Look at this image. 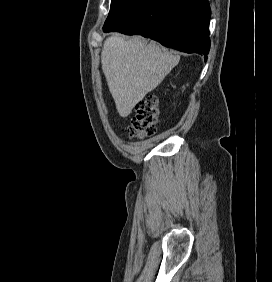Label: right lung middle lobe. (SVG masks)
<instances>
[{"label":"right lung middle lobe","mask_w":272,"mask_h":282,"mask_svg":"<svg viewBox=\"0 0 272 282\" xmlns=\"http://www.w3.org/2000/svg\"><path fill=\"white\" fill-rule=\"evenodd\" d=\"M137 0H112L108 18L105 21L104 27L111 24L127 11ZM103 27V28H104Z\"/></svg>","instance_id":"1"}]
</instances>
